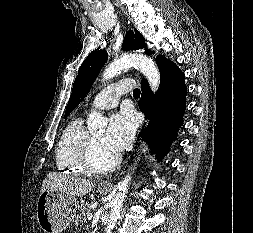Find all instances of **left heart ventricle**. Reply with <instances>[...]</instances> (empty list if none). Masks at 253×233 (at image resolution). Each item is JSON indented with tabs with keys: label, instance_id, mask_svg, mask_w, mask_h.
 Segmentation results:
<instances>
[{
	"label": "left heart ventricle",
	"instance_id": "left-heart-ventricle-1",
	"mask_svg": "<svg viewBox=\"0 0 253 233\" xmlns=\"http://www.w3.org/2000/svg\"><path fill=\"white\" fill-rule=\"evenodd\" d=\"M92 136L97 144L96 155H97L98 160L105 161L108 158L114 156V153L106 149L105 146L103 145L104 132L94 133Z\"/></svg>",
	"mask_w": 253,
	"mask_h": 233
}]
</instances>
